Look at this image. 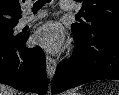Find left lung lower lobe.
I'll return each instance as SVG.
<instances>
[{
    "mask_svg": "<svg viewBox=\"0 0 119 95\" xmlns=\"http://www.w3.org/2000/svg\"><path fill=\"white\" fill-rule=\"evenodd\" d=\"M73 35V56L57 67L53 94L94 80H119V34L95 33L83 38L73 31Z\"/></svg>",
    "mask_w": 119,
    "mask_h": 95,
    "instance_id": "1",
    "label": "left lung lower lobe"
}]
</instances>
